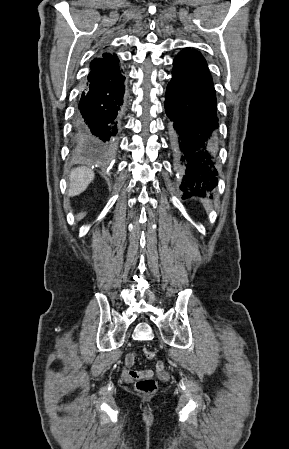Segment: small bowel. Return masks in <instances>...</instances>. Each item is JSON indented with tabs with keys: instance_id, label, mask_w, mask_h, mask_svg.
Returning a JSON list of instances; mask_svg holds the SVG:
<instances>
[{
	"instance_id": "c3829d8e",
	"label": "small bowel",
	"mask_w": 289,
	"mask_h": 449,
	"mask_svg": "<svg viewBox=\"0 0 289 449\" xmlns=\"http://www.w3.org/2000/svg\"><path fill=\"white\" fill-rule=\"evenodd\" d=\"M136 359V353H128L125 357V364L127 366V376L132 379H137L141 376H152L154 371L156 373H161L164 370V364L159 361L157 362L154 371L153 370H136L133 368Z\"/></svg>"
}]
</instances>
